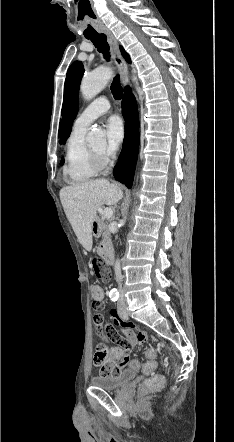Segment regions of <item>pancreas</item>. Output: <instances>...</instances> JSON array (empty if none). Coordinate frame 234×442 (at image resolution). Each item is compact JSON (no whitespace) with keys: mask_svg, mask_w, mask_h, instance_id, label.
I'll return each instance as SVG.
<instances>
[{"mask_svg":"<svg viewBox=\"0 0 234 442\" xmlns=\"http://www.w3.org/2000/svg\"><path fill=\"white\" fill-rule=\"evenodd\" d=\"M101 226H102V241L100 243L101 246H103V248H108L111 247V235L110 232L108 230V225L106 222H101ZM99 251H101V254H104L102 249L100 248Z\"/></svg>","mask_w":234,"mask_h":442,"instance_id":"1","label":"pancreas"}]
</instances>
